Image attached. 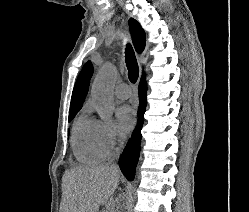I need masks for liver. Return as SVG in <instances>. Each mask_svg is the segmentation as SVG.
Here are the masks:
<instances>
[{"label":"liver","mask_w":249,"mask_h":212,"mask_svg":"<svg viewBox=\"0 0 249 212\" xmlns=\"http://www.w3.org/2000/svg\"><path fill=\"white\" fill-rule=\"evenodd\" d=\"M121 172L114 166H78L64 174L66 212H99L108 204L120 182Z\"/></svg>","instance_id":"obj_1"}]
</instances>
